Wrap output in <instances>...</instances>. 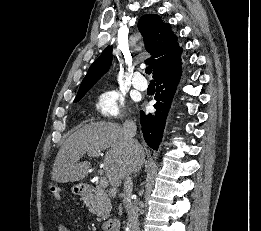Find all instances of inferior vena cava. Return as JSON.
Instances as JSON below:
<instances>
[{"mask_svg": "<svg viewBox=\"0 0 261 231\" xmlns=\"http://www.w3.org/2000/svg\"><path fill=\"white\" fill-rule=\"evenodd\" d=\"M136 130L137 127L133 121L126 120L123 123L124 140L127 146L129 147L131 157L133 160L139 158L142 152V148L140 144L134 139ZM123 178H124V188H123L122 197H123L125 210L128 214L129 229L130 231H140L139 224H138V215L131 201V194H132L131 172L130 171L125 172Z\"/></svg>", "mask_w": 261, "mask_h": 231, "instance_id": "602c4592", "label": "inferior vena cava"}]
</instances>
